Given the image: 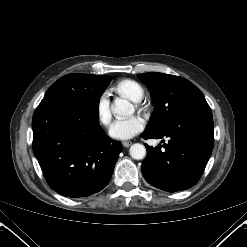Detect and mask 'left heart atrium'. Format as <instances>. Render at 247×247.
Listing matches in <instances>:
<instances>
[{"label":"left heart atrium","mask_w":247,"mask_h":247,"mask_svg":"<svg viewBox=\"0 0 247 247\" xmlns=\"http://www.w3.org/2000/svg\"><path fill=\"white\" fill-rule=\"evenodd\" d=\"M145 126L144 120L138 116L116 120L109 130L112 138L128 140L141 132Z\"/></svg>","instance_id":"left-heart-atrium-1"}]
</instances>
